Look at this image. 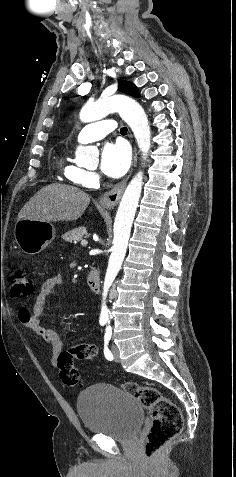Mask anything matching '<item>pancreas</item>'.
Returning a JSON list of instances; mask_svg holds the SVG:
<instances>
[{
    "label": "pancreas",
    "mask_w": 236,
    "mask_h": 477,
    "mask_svg": "<svg viewBox=\"0 0 236 477\" xmlns=\"http://www.w3.org/2000/svg\"><path fill=\"white\" fill-rule=\"evenodd\" d=\"M88 233L85 227L75 228L67 233H65L62 238L63 240L70 243H77L82 240V238L87 237Z\"/></svg>",
    "instance_id": "obj_1"
}]
</instances>
